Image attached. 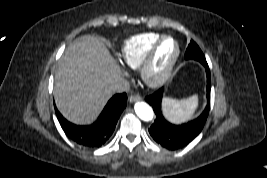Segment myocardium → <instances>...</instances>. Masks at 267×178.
I'll return each instance as SVG.
<instances>
[{
    "label": "myocardium",
    "instance_id": "obj_1",
    "mask_svg": "<svg viewBox=\"0 0 267 178\" xmlns=\"http://www.w3.org/2000/svg\"><path fill=\"white\" fill-rule=\"evenodd\" d=\"M165 40H172L176 45V52L170 63L166 66L163 72L158 76H152L150 74V67L155 59L156 53ZM181 46L179 42L170 35H164L160 37L155 44L151 47L143 61L139 66V72L142 81L150 88H159L164 85L172 76V73L180 59Z\"/></svg>",
    "mask_w": 267,
    "mask_h": 178
}]
</instances>
